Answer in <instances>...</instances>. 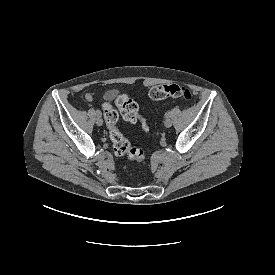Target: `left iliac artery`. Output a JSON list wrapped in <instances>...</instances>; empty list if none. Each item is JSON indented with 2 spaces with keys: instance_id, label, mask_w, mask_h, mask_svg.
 I'll return each mask as SVG.
<instances>
[{
  "instance_id": "1",
  "label": "left iliac artery",
  "mask_w": 275,
  "mask_h": 275,
  "mask_svg": "<svg viewBox=\"0 0 275 275\" xmlns=\"http://www.w3.org/2000/svg\"><path fill=\"white\" fill-rule=\"evenodd\" d=\"M165 117L166 118L170 117V112L169 111L165 113Z\"/></svg>"
}]
</instances>
